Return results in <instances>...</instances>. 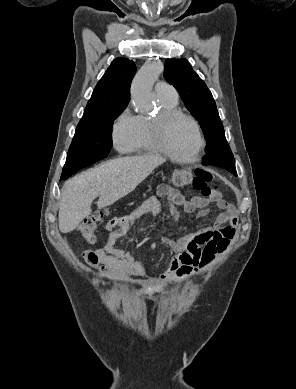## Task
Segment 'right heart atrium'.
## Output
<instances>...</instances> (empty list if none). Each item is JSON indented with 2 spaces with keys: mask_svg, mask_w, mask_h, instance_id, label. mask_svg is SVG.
<instances>
[{
  "mask_svg": "<svg viewBox=\"0 0 296 389\" xmlns=\"http://www.w3.org/2000/svg\"><path fill=\"white\" fill-rule=\"evenodd\" d=\"M136 125V116L130 109H125L112 125V142L120 152L129 151L133 142Z\"/></svg>",
  "mask_w": 296,
  "mask_h": 389,
  "instance_id": "d8ad5b80",
  "label": "right heart atrium"
}]
</instances>
